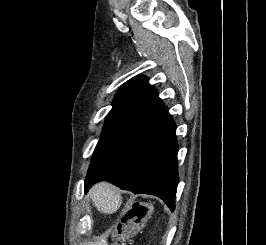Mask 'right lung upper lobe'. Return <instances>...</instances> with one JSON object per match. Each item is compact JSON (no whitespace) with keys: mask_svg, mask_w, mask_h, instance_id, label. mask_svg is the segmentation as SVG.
<instances>
[{"mask_svg":"<svg viewBox=\"0 0 266 245\" xmlns=\"http://www.w3.org/2000/svg\"><path fill=\"white\" fill-rule=\"evenodd\" d=\"M164 112L165 107L156 89L149 85L146 77L136 76L120 87L108 117L146 122Z\"/></svg>","mask_w":266,"mask_h":245,"instance_id":"right-lung-upper-lobe-1","label":"right lung upper lobe"}]
</instances>
